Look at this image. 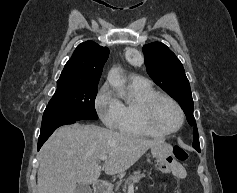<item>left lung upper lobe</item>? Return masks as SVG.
<instances>
[{"mask_svg":"<svg viewBox=\"0 0 237 193\" xmlns=\"http://www.w3.org/2000/svg\"><path fill=\"white\" fill-rule=\"evenodd\" d=\"M146 70L153 81L174 98L194 126L193 147L199 148V136L193 116V99L184 68L175 54L163 43L153 42L143 46Z\"/></svg>","mask_w":237,"mask_h":193,"instance_id":"obj_1","label":"left lung upper lobe"}]
</instances>
